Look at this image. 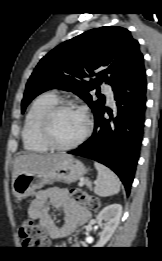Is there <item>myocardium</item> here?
Returning <instances> with one entry per match:
<instances>
[{
	"label": "myocardium",
	"mask_w": 162,
	"mask_h": 261,
	"mask_svg": "<svg viewBox=\"0 0 162 261\" xmlns=\"http://www.w3.org/2000/svg\"><path fill=\"white\" fill-rule=\"evenodd\" d=\"M64 110H77V111L81 112L84 115L85 122H86L85 129H84L83 133L81 134V136L69 144L58 143L54 139L53 132H52V124H53V120H54L55 116L59 112L64 111ZM91 125H92L91 119L83 109L77 107L76 105H74L71 102L60 101V102L55 103L53 106H51L43 114L41 121H40L39 130H40V135H41L43 142L49 148H51L53 150H58V151H67V150H71V149L79 146L81 143L84 142V140L88 137V135L91 131Z\"/></svg>",
	"instance_id": "1"
}]
</instances>
